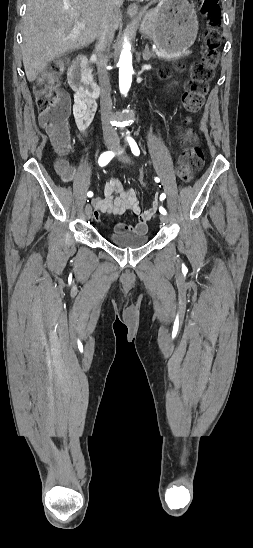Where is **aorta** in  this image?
Listing matches in <instances>:
<instances>
[{"instance_id":"1","label":"aorta","mask_w":253,"mask_h":548,"mask_svg":"<svg viewBox=\"0 0 253 548\" xmlns=\"http://www.w3.org/2000/svg\"><path fill=\"white\" fill-rule=\"evenodd\" d=\"M131 46L130 43L125 38V42L123 44V50L120 54L119 58V89L120 92L123 94H126L132 83V74H133V67H132V54L130 52Z\"/></svg>"}]
</instances>
